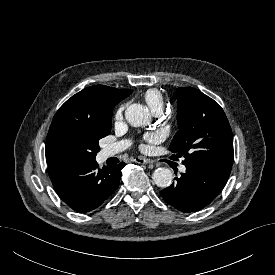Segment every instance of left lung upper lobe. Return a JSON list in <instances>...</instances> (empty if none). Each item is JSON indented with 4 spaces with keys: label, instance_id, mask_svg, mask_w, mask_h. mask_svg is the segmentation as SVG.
Segmentation results:
<instances>
[{
    "label": "left lung upper lobe",
    "instance_id": "obj_1",
    "mask_svg": "<svg viewBox=\"0 0 275 275\" xmlns=\"http://www.w3.org/2000/svg\"><path fill=\"white\" fill-rule=\"evenodd\" d=\"M177 99L179 131L169 149L184 157V165H210L231 170L233 136L221 106L191 87H180Z\"/></svg>",
    "mask_w": 275,
    "mask_h": 275
}]
</instances>
